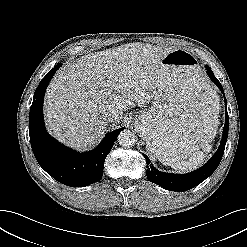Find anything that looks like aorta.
I'll use <instances>...</instances> for the list:
<instances>
[{"instance_id":"aorta-1","label":"aorta","mask_w":247,"mask_h":247,"mask_svg":"<svg viewBox=\"0 0 247 247\" xmlns=\"http://www.w3.org/2000/svg\"><path fill=\"white\" fill-rule=\"evenodd\" d=\"M118 143L123 147H130L135 143V135L130 130H124L118 135Z\"/></svg>"}]
</instances>
